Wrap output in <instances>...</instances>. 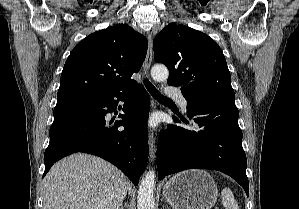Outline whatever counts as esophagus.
I'll use <instances>...</instances> for the list:
<instances>
[{
	"instance_id": "1",
	"label": "esophagus",
	"mask_w": 299,
	"mask_h": 209,
	"mask_svg": "<svg viewBox=\"0 0 299 209\" xmlns=\"http://www.w3.org/2000/svg\"><path fill=\"white\" fill-rule=\"evenodd\" d=\"M152 58H153L152 37L150 34H148V50H147V55H146V59H145V63H144L145 72L147 75L149 73ZM148 144H149L150 162H153L155 159V154H156L155 136H154L153 131L149 132Z\"/></svg>"
}]
</instances>
